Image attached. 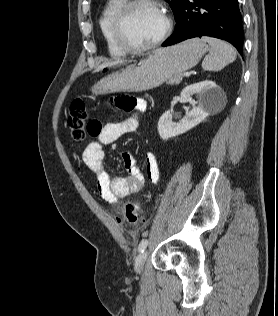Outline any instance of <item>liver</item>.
Segmentation results:
<instances>
[{
    "label": "liver",
    "mask_w": 278,
    "mask_h": 316,
    "mask_svg": "<svg viewBox=\"0 0 278 316\" xmlns=\"http://www.w3.org/2000/svg\"><path fill=\"white\" fill-rule=\"evenodd\" d=\"M119 63H121V61H113V62L103 63V64H101L100 66H98L96 68L95 72L101 71V70H103L106 67H112V66L117 65Z\"/></svg>",
    "instance_id": "obj_1"
}]
</instances>
